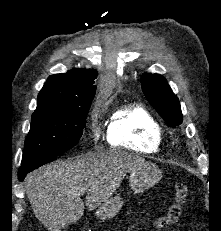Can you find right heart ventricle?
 I'll return each mask as SVG.
<instances>
[{
    "label": "right heart ventricle",
    "mask_w": 221,
    "mask_h": 231,
    "mask_svg": "<svg viewBox=\"0 0 221 231\" xmlns=\"http://www.w3.org/2000/svg\"><path fill=\"white\" fill-rule=\"evenodd\" d=\"M108 143L139 153H154L163 141L162 127L142 106L127 105L112 115L107 129Z\"/></svg>",
    "instance_id": "e07e8e85"
}]
</instances>
